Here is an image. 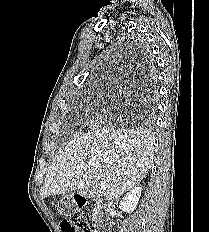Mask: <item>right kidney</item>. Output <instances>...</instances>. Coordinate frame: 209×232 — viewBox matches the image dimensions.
<instances>
[{
    "instance_id": "ca27d5eb",
    "label": "right kidney",
    "mask_w": 209,
    "mask_h": 232,
    "mask_svg": "<svg viewBox=\"0 0 209 232\" xmlns=\"http://www.w3.org/2000/svg\"><path fill=\"white\" fill-rule=\"evenodd\" d=\"M142 188L135 187L131 189L120 201L119 208L131 214L135 209L141 197Z\"/></svg>"
}]
</instances>
